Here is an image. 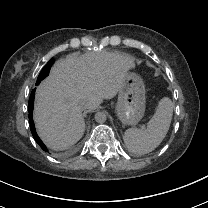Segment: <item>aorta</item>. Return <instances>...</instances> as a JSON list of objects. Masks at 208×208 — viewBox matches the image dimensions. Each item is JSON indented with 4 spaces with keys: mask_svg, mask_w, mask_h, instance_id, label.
<instances>
[{
    "mask_svg": "<svg viewBox=\"0 0 208 208\" xmlns=\"http://www.w3.org/2000/svg\"><path fill=\"white\" fill-rule=\"evenodd\" d=\"M107 119V116L104 112H97L95 114V121L98 123H104Z\"/></svg>",
    "mask_w": 208,
    "mask_h": 208,
    "instance_id": "aorta-1",
    "label": "aorta"
}]
</instances>
